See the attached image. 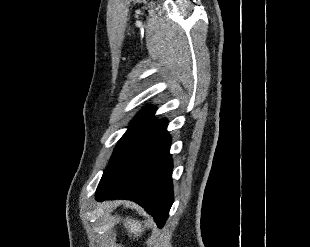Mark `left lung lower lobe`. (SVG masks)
Here are the masks:
<instances>
[{"label":"left lung lower lobe","mask_w":310,"mask_h":247,"mask_svg":"<svg viewBox=\"0 0 310 247\" xmlns=\"http://www.w3.org/2000/svg\"><path fill=\"white\" fill-rule=\"evenodd\" d=\"M167 120L155 121L133 138L103 173L96 200L130 199L165 224L173 203L171 138Z\"/></svg>","instance_id":"obj_1"}]
</instances>
